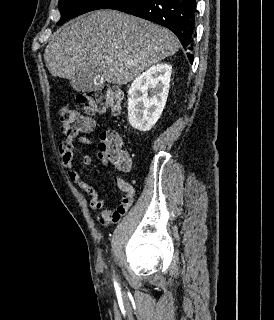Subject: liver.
Returning a JSON list of instances; mask_svg holds the SVG:
<instances>
[{"instance_id":"1","label":"liver","mask_w":274,"mask_h":320,"mask_svg":"<svg viewBox=\"0 0 274 320\" xmlns=\"http://www.w3.org/2000/svg\"><path fill=\"white\" fill-rule=\"evenodd\" d=\"M179 48L178 38L162 26L118 10H96L58 28L44 60L58 78L75 80L80 72L97 70L103 82L124 86Z\"/></svg>"}]
</instances>
